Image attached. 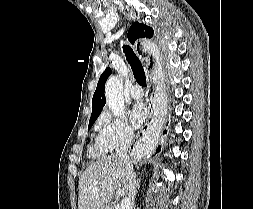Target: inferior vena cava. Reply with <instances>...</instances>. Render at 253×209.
<instances>
[{"label":"inferior vena cava","instance_id":"obj_1","mask_svg":"<svg viewBox=\"0 0 253 209\" xmlns=\"http://www.w3.org/2000/svg\"><path fill=\"white\" fill-rule=\"evenodd\" d=\"M133 131H127L124 135V137L121 139L119 145L116 148V156L123 159L127 163L128 167V173H129V183H130V198L133 202L134 196L136 194V188H135V175L133 172V166L131 165V161L128 158L127 152L130 147L131 141L133 139Z\"/></svg>","mask_w":253,"mask_h":209}]
</instances>
